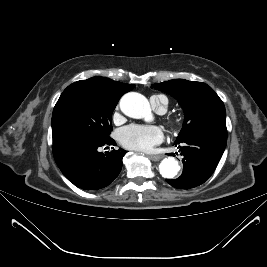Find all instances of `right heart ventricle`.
Instances as JSON below:
<instances>
[{
  "label": "right heart ventricle",
  "mask_w": 267,
  "mask_h": 267,
  "mask_svg": "<svg viewBox=\"0 0 267 267\" xmlns=\"http://www.w3.org/2000/svg\"><path fill=\"white\" fill-rule=\"evenodd\" d=\"M163 97L164 96H159V95L151 97V99H150L151 104L156 110L161 108V107H163L164 110H166L168 101H167V99L162 100Z\"/></svg>",
  "instance_id": "obj_1"
}]
</instances>
